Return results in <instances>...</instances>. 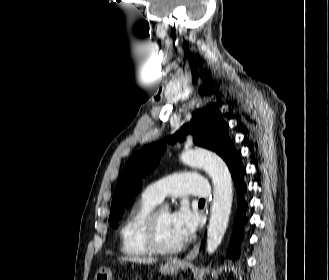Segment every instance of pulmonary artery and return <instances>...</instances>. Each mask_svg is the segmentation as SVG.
<instances>
[{
	"instance_id": "pulmonary-artery-1",
	"label": "pulmonary artery",
	"mask_w": 329,
	"mask_h": 280,
	"mask_svg": "<svg viewBox=\"0 0 329 280\" xmlns=\"http://www.w3.org/2000/svg\"><path fill=\"white\" fill-rule=\"evenodd\" d=\"M158 202L166 195L180 197L194 195L200 198L209 196V185L207 181L194 172H180L162 178L146 187L145 192Z\"/></svg>"
}]
</instances>
